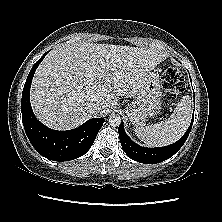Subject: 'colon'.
<instances>
[{"mask_svg":"<svg viewBox=\"0 0 222 222\" xmlns=\"http://www.w3.org/2000/svg\"><path fill=\"white\" fill-rule=\"evenodd\" d=\"M162 86L167 98L177 97L184 90V79L180 71L172 66L167 67L162 75Z\"/></svg>","mask_w":222,"mask_h":222,"instance_id":"5ec220e1","label":"colon"}]
</instances>
